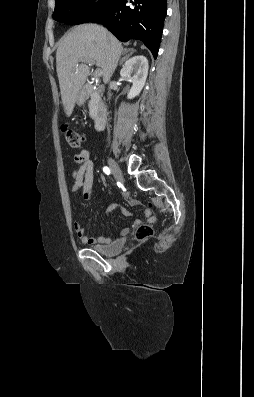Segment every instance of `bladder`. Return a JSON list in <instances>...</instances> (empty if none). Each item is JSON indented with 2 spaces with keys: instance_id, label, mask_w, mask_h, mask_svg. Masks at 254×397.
I'll return each mask as SVG.
<instances>
[{
  "instance_id": "31cf9c89",
  "label": "bladder",
  "mask_w": 254,
  "mask_h": 397,
  "mask_svg": "<svg viewBox=\"0 0 254 397\" xmlns=\"http://www.w3.org/2000/svg\"><path fill=\"white\" fill-rule=\"evenodd\" d=\"M124 242L122 240L114 241L108 245L94 246L93 249L99 254L106 256H113L122 251Z\"/></svg>"
}]
</instances>
